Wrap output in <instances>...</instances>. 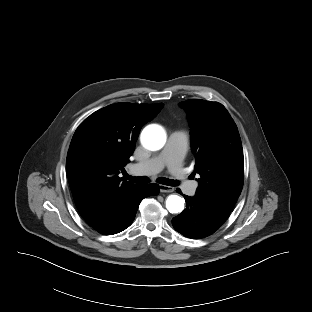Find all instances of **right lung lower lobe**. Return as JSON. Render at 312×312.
<instances>
[{"instance_id":"right-lung-lower-lobe-1","label":"right lung lower lobe","mask_w":312,"mask_h":312,"mask_svg":"<svg viewBox=\"0 0 312 312\" xmlns=\"http://www.w3.org/2000/svg\"><path fill=\"white\" fill-rule=\"evenodd\" d=\"M158 193L159 186L157 184L138 185L114 217L94 229L103 235H112L125 230L133 222L140 202L144 198Z\"/></svg>"}]
</instances>
